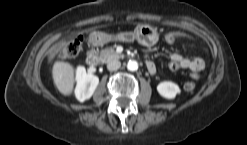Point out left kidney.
<instances>
[{
  "mask_svg": "<svg viewBox=\"0 0 247 145\" xmlns=\"http://www.w3.org/2000/svg\"><path fill=\"white\" fill-rule=\"evenodd\" d=\"M158 93L166 99H174L177 94H180L181 90L179 86L170 81H164L157 86Z\"/></svg>",
  "mask_w": 247,
  "mask_h": 145,
  "instance_id": "left-kidney-1",
  "label": "left kidney"
}]
</instances>
